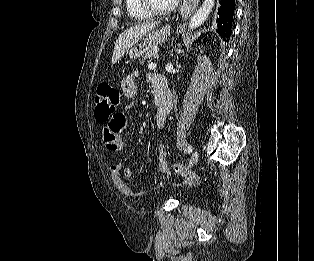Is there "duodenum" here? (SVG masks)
<instances>
[{
    "label": "duodenum",
    "instance_id": "obj_1",
    "mask_svg": "<svg viewBox=\"0 0 314 261\" xmlns=\"http://www.w3.org/2000/svg\"><path fill=\"white\" fill-rule=\"evenodd\" d=\"M155 106L160 113L168 112L172 106V97L167 85V81L163 76L157 75L155 78Z\"/></svg>",
    "mask_w": 314,
    "mask_h": 261
}]
</instances>
